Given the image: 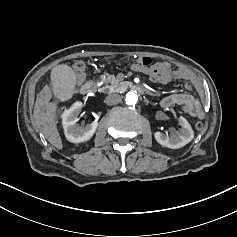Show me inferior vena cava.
<instances>
[{"label": "inferior vena cava", "mask_w": 237, "mask_h": 237, "mask_svg": "<svg viewBox=\"0 0 237 237\" xmlns=\"http://www.w3.org/2000/svg\"><path fill=\"white\" fill-rule=\"evenodd\" d=\"M121 102V97L119 94H110L106 96L104 103L107 105H115Z\"/></svg>", "instance_id": "602c4592"}]
</instances>
